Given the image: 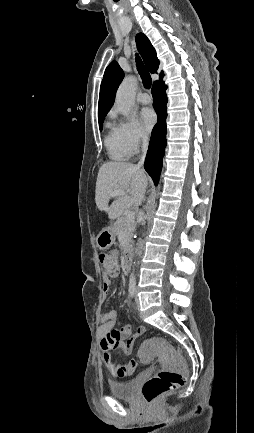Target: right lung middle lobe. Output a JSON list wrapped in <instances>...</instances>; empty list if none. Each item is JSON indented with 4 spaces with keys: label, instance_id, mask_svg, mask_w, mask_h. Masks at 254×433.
<instances>
[{
    "label": "right lung middle lobe",
    "instance_id": "1",
    "mask_svg": "<svg viewBox=\"0 0 254 433\" xmlns=\"http://www.w3.org/2000/svg\"><path fill=\"white\" fill-rule=\"evenodd\" d=\"M102 126H103V121H100V122H99L100 130H102Z\"/></svg>",
    "mask_w": 254,
    "mask_h": 433
}]
</instances>
